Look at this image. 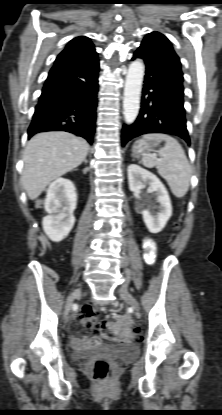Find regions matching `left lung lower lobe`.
I'll return each instance as SVG.
<instances>
[{
    "label": "left lung lower lobe",
    "mask_w": 222,
    "mask_h": 415,
    "mask_svg": "<svg viewBox=\"0 0 222 415\" xmlns=\"http://www.w3.org/2000/svg\"><path fill=\"white\" fill-rule=\"evenodd\" d=\"M146 65L141 110L122 130V146L147 133L175 135L190 145L183 107V73L172 45L159 38H144L132 60Z\"/></svg>",
    "instance_id": "0a47b994"
}]
</instances>
